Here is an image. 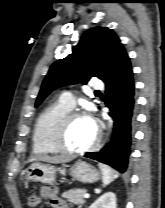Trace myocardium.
<instances>
[{
	"label": "myocardium",
	"mask_w": 165,
	"mask_h": 208,
	"mask_svg": "<svg viewBox=\"0 0 165 208\" xmlns=\"http://www.w3.org/2000/svg\"><path fill=\"white\" fill-rule=\"evenodd\" d=\"M88 117L89 115L82 110H70L65 113L55 126L52 140L54 146L57 148L59 153L72 154V155H83L93 151L100 143V131L96 128V134L93 142L86 148L83 149H70L64 143V135L70 124L75 118Z\"/></svg>",
	"instance_id": "myocardium-1"
}]
</instances>
